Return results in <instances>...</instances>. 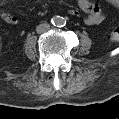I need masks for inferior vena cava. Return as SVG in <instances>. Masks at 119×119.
<instances>
[{
    "mask_svg": "<svg viewBox=\"0 0 119 119\" xmlns=\"http://www.w3.org/2000/svg\"><path fill=\"white\" fill-rule=\"evenodd\" d=\"M50 30V25L48 23L39 24L36 28L37 33H46Z\"/></svg>",
    "mask_w": 119,
    "mask_h": 119,
    "instance_id": "inferior-vena-cava-1",
    "label": "inferior vena cava"
}]
</instances>
